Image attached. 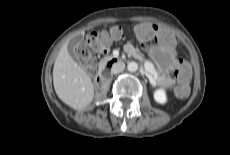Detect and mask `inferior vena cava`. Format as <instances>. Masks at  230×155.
<instances>
[{"label": "inferior vena cava", "instance_id": "602c4592", "mask_svg": "<svg viewBox=\"0 0 230 155\" xmlns=\"http://www.w3.org/2000/svg\"><path fill=\"white\" fill-rule=\"evenodd\" d=\"M125 68V63L122 61H119L115 64H113L112 68H111V73L112 74H117L119 72H122Z\"/></svg>", "mask_w": 230, "mask_h": 155}]
</instances>
